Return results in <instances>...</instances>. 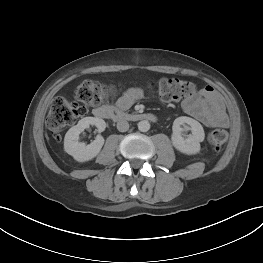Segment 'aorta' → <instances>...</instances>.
Masks as SVG:
<instances>
[{
  "label": "aorta",
  "mask_w": 263,
  "mask_h": 263,
  "mask_svg": "<svg viewBox=\"0 0 263 263\" xmlns=\"http://www.w3.org/2000/svg\"><path fill=\"white\" fill-rule=\"evenodd\" d=\"M138 129L141 132H147L150 129V123L147 120H142L138 122Z\"/></svg>",
  "instance_id": "obj_1"
}]
</instances>
